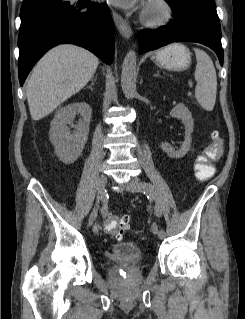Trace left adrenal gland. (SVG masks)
Instances as JSON below:
<instances>
[{"label": "left adrenal gland", "instance_id": "left-adrenal-gland-1", "mask_svg": "<svg viewBox=\"0 0 245 319\" xmlns=\"http://www.w3.org/2000/svg\"><path fill=\"white\" fill-rule=\"evenodd\" d=\"M154 76H155V77H162V76L159 75V71H157V73L154 74Z\"/></svg>", "mask_w": 245, "mask_h": 319}]
</instances>
